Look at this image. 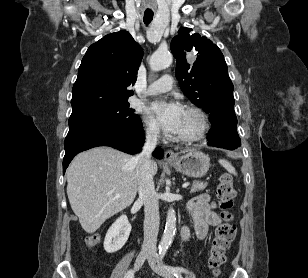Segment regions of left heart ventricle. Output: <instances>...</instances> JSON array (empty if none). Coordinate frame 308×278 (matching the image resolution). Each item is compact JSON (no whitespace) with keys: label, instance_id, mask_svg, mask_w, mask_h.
Returning a JSON list of instances; mask_svg holds the SVG:
<instances>
[{"label":"left heart ventricle","instance_id":"1","mask_svg":"<svg viewBox=\"0 0 308 278\" xmlns=\"http://www.w3.org/2000/svg\"><path fill=\"white\" fill-rule=\"evenodd\" d=\"M198 128H199L198 117L194 113L184 110L181 124L177 131V134L180 135L192 134L196 132Z\"/></svg>","mask_w":308,"mask_h":278}]
</instances>
